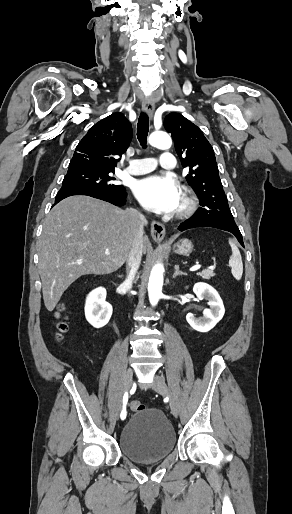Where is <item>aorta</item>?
I'll return each mask as SVG.
<instances>
[{
	"mask_svg": "<svg viewBox=\"0 0 292 514\" xmlns=\"http://www.w3.org/2000/svg\"><path fill=\"white\" fill-rule=\"evenodd\" d=\"M148 142L151 146H154V148H159V150H169L172 146V140L166 132H153V134L149 136ZM163 272V266L157 264L150 274L148 292L152 306H156L157 302H159V298L162 296Z\"/></svg>",
	"mask_w": 292,
	"mask_h": 514,
	"instance_id": "1",
	"label": "aorta"
}]
</instances>
